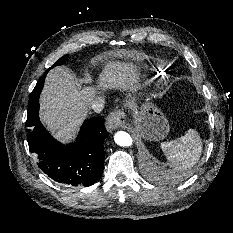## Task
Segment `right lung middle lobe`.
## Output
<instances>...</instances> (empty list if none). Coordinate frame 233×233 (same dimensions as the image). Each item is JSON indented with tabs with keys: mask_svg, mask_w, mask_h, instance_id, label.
Masks as SVG:
<instances>
[{
	"mask_svg": "<svg viewBox=\"0 0 233 233\" xmlns=\"http://www.w3.org/2000/svg\"><path fill=\"white\" fill-rule=\"evenodd\" d=\"M68 55H65L63 57H61L59 60H57L45 73H47L51 68L55 67V66H59L62 65L63 63H65V61L67 60ZM36 110L33 109H28V119L29 121H33L34 118H36L38 116V109L36 107H34ZM29 126V125H26Z\"/></svg>",
	"mask_w": 233,
	"mask_h": 233,
	"instance_id": "1",
	"label": "right lung middle lobe"
}]
</instances>
